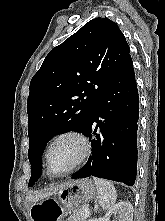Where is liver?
<instances>
[{"instance_id": "obj_1", "label": "liver", "mask_w": 165, "mask_h": 221, "mask_svg": "<svg viewBox=\"0 0 165 221\" xmlns=\"http://www.w3.org/2000/svg\"><path fill=\"white\" fill-rule=\"evenodd\" d=\"M62 186H63V185H61V186L59 187V189H61ZM57 191H58V189H53V190H51L49 193H45V194H43V195L45 196V195H47V194H50V193H53V192H57Z\"/></svg>"}]
</instances>
